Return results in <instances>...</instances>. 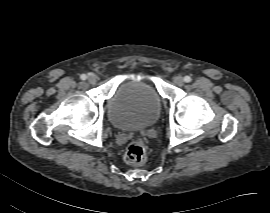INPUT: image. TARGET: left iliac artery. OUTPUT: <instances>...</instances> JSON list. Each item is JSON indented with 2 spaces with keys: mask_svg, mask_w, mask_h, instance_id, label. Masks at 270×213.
Instances as JSON below:
<instances>
[{
  "mask_svg": "<svg viewBox=\"0 0 270 213\" xmlns=\"http://www.w3.org/2000/svg\"><path fill=\"white\" fill-rule=\"evenodd\" d=\"M191 77L190 76H185L184 77V81L186 82V83H189V82H191Z\"/></svg>",
  "mask_w": 270,
  "mask_h": 213,
  "instance_id": "obj_1",
  "label": "left iliac artery"
}]
</instances>
